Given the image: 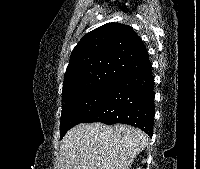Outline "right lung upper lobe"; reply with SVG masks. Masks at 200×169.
<instances>
[{"label": "right lung upper lobe", "instance_id": "right-lung-upper-lobe-1", "mask_svg": "<svg viewBox=\"0 0 200 169\" xmlns=\"http://www.w3.org/2000/svg\"><path fill=\"white\" fill-rule=\"evenodd\" d=\"M151 67L143 41L126 25L107 23L87 33L72 51L62 100L106 79L119 80Z\"/></svg>", "mask_w": 200, "mask_h": 169}]
</instances>
